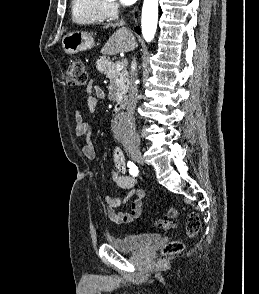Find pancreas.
<instances>
[{
    "instance_id": "cf45deb5",
    "label": "pancreas",
    "mask_w": 259,
    "mask_h": 294,
    "mask_svg": "<svg viewBox=\"0 0 259 294\" xmlns=\"http://www.w3.org/2000/svg\"><path fill=\"white\" fill-rule=\"evenodd\" d=\"M97 70L106 75L111 81H113L117 87L116 89V102L118 105L124 103L123 96L128 91L129 86V75L126 69L118 71L116 69V64L112 63L109 58L105 56L100 57L97 60L96 65Z\"/></svg>"
}]
</instances>
